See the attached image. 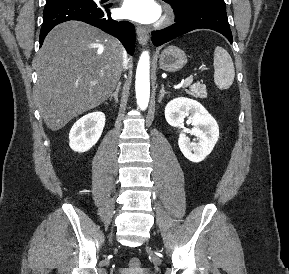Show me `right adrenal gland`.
Instances as JSON below:
<instances>
[{
    "instance_id": "obj_1",
    "label": "right adrenal gland",
    "mask_w": 289,
    "mask_h": 274,
    "mask_svg": "<svg viewBox=\"0 0 289 274\" xmlns=\"http://www.w3.org/2000/svg\"><path fill=\"white\" fill-rule=\"evenodd\" d=\"M121 87V82H118L117 87L115 92H113V94L110 96L109 101L112 100V98H114L115 102L118 103V93Z\"/></svg>"
}]
</instances>
